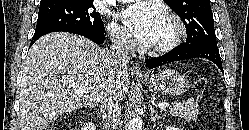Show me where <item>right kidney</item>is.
<instances>
[{
  "label": "right kidney",
  "instance_id": "ca27d5eb",
  "mask_svg": "<svg viewBox=\"0 0 249 130\" xmlns=\"http://www.w3.org/2000/svg\"><path fill=\"white\" fill-rule=\"evenodd\" d=\"M82 130H95V124L92 122H87L83 125Z\"/></svg>",
  "mask_w": 249,
  "mask_h": 130
}]
</instances>
